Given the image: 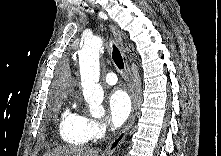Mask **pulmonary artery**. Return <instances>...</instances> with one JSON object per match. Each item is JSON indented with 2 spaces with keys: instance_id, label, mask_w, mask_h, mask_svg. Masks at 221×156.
<instances>
[{
  "instance_id": "e3ab8cb5",
  "label": "pulmonary artery",
  "mask_w": 221,
  "mask_h": 156,
  "mask_svg": "<svg viewBox=\"0 0 221 156\" xmlns=\"http://www.w3.org/2000/svg\"><path fill=\"white\" fill-rule=\"evenodd\" d=\"M105 81L109 85H115L117 83V76L114 72H109L105 76Z\"/></svg>"
}]
</instances>
